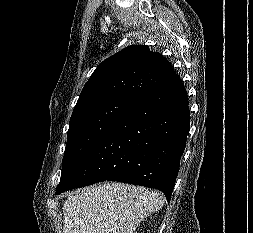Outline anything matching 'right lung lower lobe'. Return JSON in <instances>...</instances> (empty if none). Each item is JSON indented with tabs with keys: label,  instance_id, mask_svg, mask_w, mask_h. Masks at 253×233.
I'll use <instances>...</instances> for the list:
<instances>
[{
	"label": "right lung lower lobe",
	"instance_id": "1",
	"mask_svg": "<svg viewBox=\"0 0 253 233\" xmlns=\"http://www.w3.org/2000/svg\"><path fill=\"white\" fill-rule=\"evenodd\" d=\"M189 127L188 95L174 74L134 101L60 181L56 194L112 180L161 190L169 202Z\"/></svg>",
	"mask_w": 253,
	"mask_h": 233
}]
</instances>
